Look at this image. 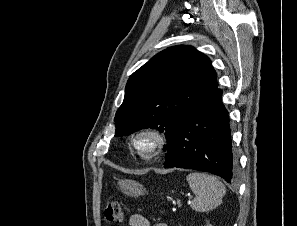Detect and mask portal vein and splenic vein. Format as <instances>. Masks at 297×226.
I'll list each match as a JSON object with an SVG mask.
<instances>
[{
    "label": "portal vein and splenic vein",
    "mask_w": 297,
    "mask_h": 226,
    "mask_svg": "<svg viewBox=\"0 0 297 226\" xmlns=\"http://www.w3.org/2000/svg\"><path fill=\"white\" fill-rule=\"evenodd\" d=\"M177 203H178V204H180V203H181V201L179 200V201H177ZM188 203H190V200L188 201Z\"/></svg>",
    "instance_id": "18ae733b"
}]
</instances>
